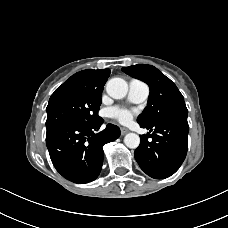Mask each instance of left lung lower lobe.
<instances>
[{
    "label": "left lung lower lobe",
    "mask_w": 228,
    "mask_h": 228,
    "mask_svg": "<svg viewBox=\"0 0 228 228\" xmlns=\"http://www.w3.org/2000/svg\"><path fill=\"white\" fill-rule=\"evenodd\" d=\"M151 134L141 135L139 147L134 156L141 169L150 177L164 179L174 174L187 154L189 125L187 115H178L143 126ZM147 137L152 140L148 141Z\"/></svg>",
    "instance_id": "left-lung-lower-lobe-1"
}]
</instances>
